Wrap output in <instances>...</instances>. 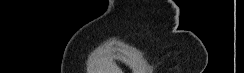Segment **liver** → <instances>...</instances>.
Here are the masks:
<instances>
[{
  "mask_svg": "<svg viewBox=\"0 0 244 73\" xmlns=\"http://www.w3.org/2000/svg\"><path fill=\"white\" fill-rule=\"evenodd\" d=\"M102 71L99 73H122L120 72L121 69L114 63L108 62V61H102V63L99 64V70Z\"/></svg>",
  "mask_w": 244,
  "mask_h": 73,
  "instance_id": "liver-1",
  "label": "liver"
}]
</instances>
